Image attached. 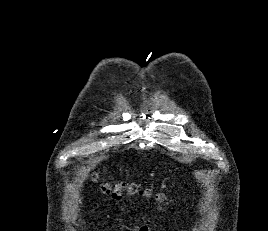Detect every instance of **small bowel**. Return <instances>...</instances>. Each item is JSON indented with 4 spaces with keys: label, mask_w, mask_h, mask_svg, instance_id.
<instances>
[{
    "label": "small bowel",
    "mask_w": 268,
    "mask_h": 231,
    "mask_svg": "<svg viewBox=\"0 0 268 231\" xmlns=\"http://www.w3.org/2000/svg\"><path fill=\"white\" fill-rule=\"evenodd\" d=\"M140 231H149V227L147 225H142Z\"/></svg>",
    "instance_id": "obj_1"
}]
</instances>
